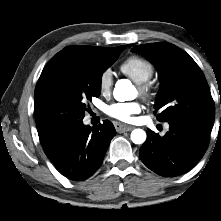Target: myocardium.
Segmentation results:
<instances>
[{"label":"myocardium","instance_id":"f54148a6","mask_svg":"<svg viewBox=\"0 0 221 221\" xmlns=\"http://www.w3.org/2000/svg\"><path fill=\"white\" fill-rule=\"evenodd\" d=\"M138 90L141 96L146 100H150L153 97L152 86L147 81L138 83Z\"/></svg>","mask_w":221,"mask_h":221}]
</instances>
